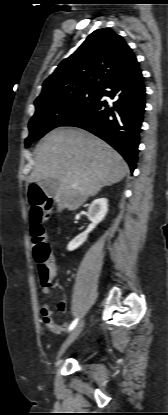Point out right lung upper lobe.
<instances>
[{
    "mask_svg": "<svg viewBox=\"0 0 168 415\" xmlns=\"http://www.w3.org/2000/svg\"><path fill=\"white\" fill-rule=\"evenodd\" d=\"M137 63L122 36L110 28L95 30L44 81L35 105L83 89H103Z\"/></svg>",
    "mask_w": 168,
    "mask_h": 415,
    "instance_id": "cb5924a9",
    "label": "right lung upper lobe"
}]
</instances>
